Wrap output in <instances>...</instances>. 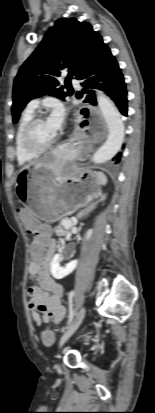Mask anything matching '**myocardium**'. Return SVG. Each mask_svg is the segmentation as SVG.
<instances>
[{"label": "myocardium", "mask_w": 155, "mask_h": 413, "mask_svg": "<svg viewBox=\"0 0 155 413\" xmlns=\"http://www.w3.org/2000/svg\"><path fill=\"white\" fill-rule=\"evenodd\" d=\"M44 120L45 118L43 116H40V115L34 116L26 124L24 131H23V135H22L23 146L28 153L35 155V156H38L50 150L56 142V139L54 138L51 142H49L46 145H38L35 143L34 137H33L34 129L39 122L44 121Z\"/></svg>", "instance_id": "obj_1"}]
</instances>
